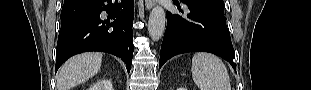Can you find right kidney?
I'll return each mask as SVG.
<instances>
[{
	"instance_id": "1",
	"label": "right kidney",
	"mask_w": 311,
	"mask_h": 90,
	"mask_svg": "<svg viewBox=\"0 0 311 90\" xmlns=\"http://www.w3.org/2000/svg\"><path fill=\"white\" fill-rule=\"evenodd\" d=\"M88 90H113L110 80H100L93 86H90Z\"/></svg>"
}]
</instances>
